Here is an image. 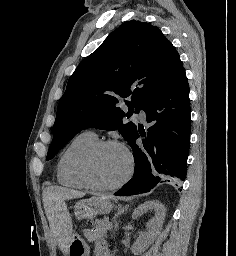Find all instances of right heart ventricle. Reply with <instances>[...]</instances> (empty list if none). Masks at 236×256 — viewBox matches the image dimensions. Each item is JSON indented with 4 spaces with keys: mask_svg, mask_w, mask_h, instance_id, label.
Instances as JSON below:
<instances>
[{
    "mask_svg": "<svg viewBox=\"0 0 236 256\" xmlns=\"http://www.w3.org/2000/svg\"><path fill=\"white\" fill-rule=\"evenodd\" d=\"M97 142V136L89 132H82L71 141L57 163L56 176L61 185L74 189L88 188L82 177V163Z\"/></svg>",
    "mask_w": 236,
    "mask_h": 256,
    "instance_id": "right-heart-ventricle-1",
    "label": "right heart ventricle"
}]
</instances>
